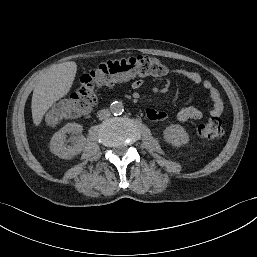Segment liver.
Segmentation results:
<instances>
[{"label":"liver","mask_w":257,"mask_h":257,"mask_svg":"<svg viewBox=\"0 0 257 257\" xmlns=\"http://www.w3.org/2000/svg\"><path fill=\"white\" fill-rule=\"evenodd\" d=\"M77 65L74 61L52 66L40 79L32 95V119L39 126L49 108L70 91Z\"/></svg>","instance_id":"obj_1"}]
</instances>
